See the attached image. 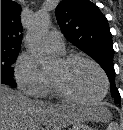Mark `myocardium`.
<instances>
[{
	"instance_id": "myocardium-1",
	"label": "myocardium",
	"mask_w": 123,
	"mask_h": 130,
	"mask_svg": "<svg viewBox=\"0 0 123 130\" xmlns=\"http://www.w3.org/2000/svg\"><path fill=\"white\" fill-rule=\"evenodd\" d=\"M59 61L62 63L63 66H69L70 64H72L76 61L88 62L89 64L93 65L99 71V73L102 76L103 83H104V88H103V91L100 96H98L96 98H92V99H84V98H79V97L74 96L66 88V86L64 85V83L62 82V80L59 77L50 73L49 75H50L53 87L59 97H61L62 99L66 100V101H69L72 103H79V104H93V103L100 102L101 100H103L105 98V96L107 95L108 90H109V80H108L105 70L101 67V65L99 63H97L92 58L82 55V54L65 55V56L61 57L59 59Z\"/></svg>"
}]
</instances>
